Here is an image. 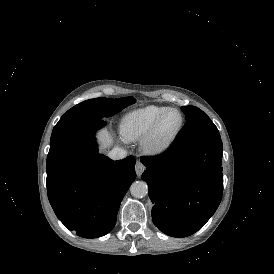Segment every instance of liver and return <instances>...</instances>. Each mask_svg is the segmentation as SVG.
<instances>
[{"mask_svg": "<svg viewBox=\"0 0 274 274\" xmlns=\"http://www.w3.org/2000/svg\"><path fill=\"white\" fill-rule=\"evenodd\" d=\"M102 141L107 145L110 144V138L106 133L103 135Z\"/></svg>", "mask_w": 274, "mask_h": 274, "instance_id": "obj_1", "label": "liver"}]
</instances>
